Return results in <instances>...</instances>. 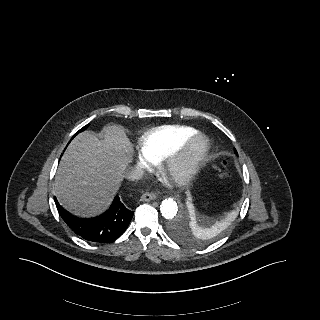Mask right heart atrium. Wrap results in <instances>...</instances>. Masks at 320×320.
Returning <instances> with one entry per match:
<instances>
[{"instance_id":"1","label":"right heart atrium","mask_w":320,"mask_h":320,"mask_svg":"<svg viewBox=\"0 0 320 320\" xmlns=\"http://www.w3.org/2000/svg\"><path fill=\"white\" fill-rule=\"evenodd\" d=\"M136 163L140 168L148 169L152 166V161L145 157L142 153L138 154Z\"/></svg>"}]
</instances>
